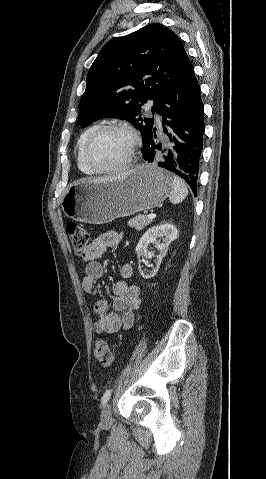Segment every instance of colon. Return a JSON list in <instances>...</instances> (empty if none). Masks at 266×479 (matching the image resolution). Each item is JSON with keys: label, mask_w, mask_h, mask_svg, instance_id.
Masks as SVG:
<instances>
[{"label": "colon", "mask_w": 266, "mask_h": 479, "mask_svg": "<svg viewBox=\"0 0 266 479\" xmlns=\"http://www.w3.org/2000/svg\"><path fill=\"white\" fill-rule=\"evenodd\" d=\"M66 232L74 252L82 256L89 243V232L75 222H68ZM94 356L103 366H110L114 361V354L105 339H97L94 346Z\"/></svg>", "instance_id": "1"}]
</instances>
